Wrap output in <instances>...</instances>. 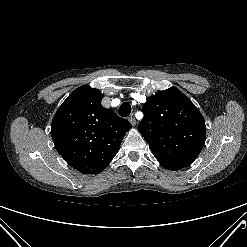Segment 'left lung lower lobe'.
Instances as JSON below:
<instances>
[{"label":"left lung lower lobe","instance_id":"0a47b994","mask_svg":"<svg viewBox=\"0 0 247 247\" xmlns=\"http://www.w3.org/2000/svg\"><path fill=\"white\" fill-rule=\"evenodd\" d=\"M163 167L169 169V170H180L181 168H178V167H174V166H166V165H162Z\"/></svg>","mask_w":247,"mask_h":247}]
</instances>
